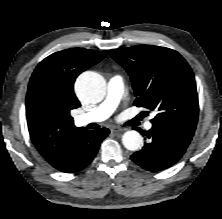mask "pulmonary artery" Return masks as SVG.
<instances>
[{
  "mask_svg": "<svg viewBox=\"0 0 222 219\" xmlns=\"http://www.w3.org/2000/svg\"><path fill=\"white\" fill-rule=\"evenodd\" d=\"M124 90V81L120 75L111 77L107 85V96L105 100L89 112L77 115L74 120L78 126L90 123H99L108 119L118 106ZM146 129H151L152 124L146 123Z\"/></svg>",
  "mask_w": 222,
  "mask_h": 219,
  "instance_id": "e3ab8cb5",
  "label": "pulmonary artery"
}]
</instances>
